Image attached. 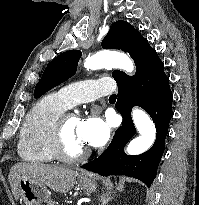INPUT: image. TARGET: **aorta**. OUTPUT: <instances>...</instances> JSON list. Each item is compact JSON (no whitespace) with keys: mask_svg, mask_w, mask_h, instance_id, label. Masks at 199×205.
<instances>
[{"mask_svg":"<svg viewBox=\"0 0 199 205\" xmlns=\"http://www.w3.org/2000/svg\"><path fill=\"white\" fill-rule=\"evenodd\" d=\"M84 67L92 70L119 68L130 74L134 71V63L126 54L109 50L99 51L95 55L88 56L85 59ZM132 118L140 136L128 144L126 152L129 155H139L153 145L156 129L153 121L142 109H133Z\"/></svg>","mask_w":199,"mask_h":205,"instance_id":"obj_1","label":"aorta"}]
</instances>
